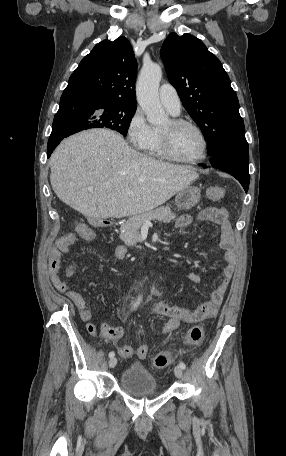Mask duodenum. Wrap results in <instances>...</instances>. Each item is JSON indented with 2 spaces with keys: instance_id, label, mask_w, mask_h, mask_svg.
I'll return each instance as SVG.
<instances>
[{
  "instance_id": "obj_1",
  "label": "duodenum",
  "mask_w": 286,
  "mask_h": 456,
  "mask_svg": "<svg viewBox=\"0 0 286 456\" xmlns=\"http://www.w3.org/2000/svg\"><path fill=\"white\" fill-rule=\"evenodd\" d=\"M97 221L99 222V224L101 226H107L108 222H106L105 219H102V218H98Z\"/></svg>"
}]
</instances>
